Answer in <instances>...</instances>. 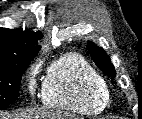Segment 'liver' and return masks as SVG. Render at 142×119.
<instances>
[{
	"instance_id": "obj_1",
	"label": "liver",
	"mask_w": 142,
	"mask_h": 119,
	"mask_svg": "<svg viewBox=\"0 0 142 119\" xmlns=\"http://www.w3.org/2000/svg\"><path fill=\"white\" fill-rule=\"evenodd\" d=\"M68 116L46 109H27L13 116L0 113V119H66Z\"/></svg>"
}]
</instances>
